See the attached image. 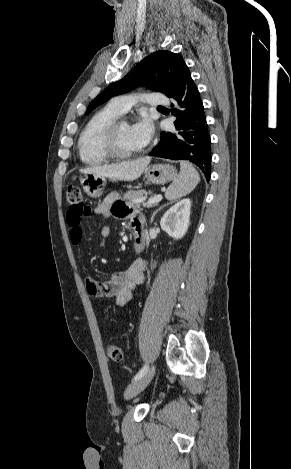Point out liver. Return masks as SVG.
Instances as JSON below:
<instances>
[{"mask_svg": "<svg viewBox=\"0 0 291 469\" xmlns=\"http://www.w3.org/2000/svg\"><path fill=\"white\" fill-rule=\"evenodd\" d=\"M151 161V157L146 156L132 161L118 164L94 166L80 169L83 174H93L98 177H105L116 180L133 181L138 179Z\"/></svg>", "mask_w": 291, "mask_h": 469, "instance_id": "obj_1", "label": "liver"}]
</instances>
